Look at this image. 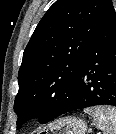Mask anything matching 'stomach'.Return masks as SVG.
I'll use <instances>...</instances> for the list:
<instances>
[{"label":"stomach","instance_id":"0dacf381","mask_svg":"<svg viewBox=\"0 0 116 134\" xmlns=\"http://www.w3.org/2000/svg\"><path fill=\"white\" fill-rule=\"evenodd\" d=\"M87 124L75 117H66L50 123L41 134H86Z\"/></svg>","mask_w":116,"mask_h":134}]
</instances>
